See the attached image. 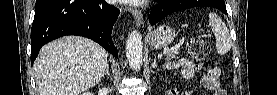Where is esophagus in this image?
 Segmentation results:
<instances>
[{
    "label": "esophagus",
    "mask_w": 277,
    "mask_h": 95,
    "mask_svg": "<svg viewBox=\"0 0 277 95\" xmlns=\"http://www.w3.org/2000/svg\"><path fill=\"white\" fill-rule=\"evenodd\" d=\"M131 13L133 14L135 23L137 26H141L143 23V15L140 11H138L137 9H132Z\"/></svg>",
    "instance_id": "esophagus-1"
}]
</instances>
